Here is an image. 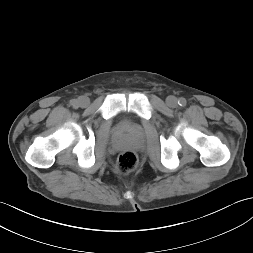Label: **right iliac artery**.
<instances>
[{
  "mask_svg": "<svg viewBox=\"0 0 253 253\" xmlns=\"http://www.w3.org/2000/svg\"><path fill=\"white\" fill-rule=\"evenodd\" d=\"M70 103H71V105H73L74 107H78V101H77V100H71Z\"/></svg>",
  "mask_w": 253,
  "mask_h": 253,
  "instance_id": "1",
  "label": "right iliac artery"
}]
</instances>
